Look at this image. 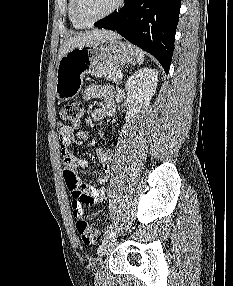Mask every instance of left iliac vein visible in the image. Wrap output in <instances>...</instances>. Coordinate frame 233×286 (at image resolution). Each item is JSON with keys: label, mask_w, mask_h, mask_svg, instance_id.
Here are the masks:
<instances>
[{"label": "left iliac vein", "mask_w": 233, "mask_h": 286, "mask_svg": "<svg viewBox=\"0 0 233 286\" xmlns=\"http://www.w3.org/2000/svg\"><path fill=\"white\" fill-rule=\"evenodd\" d=\"M116 236H117V230H112L109 234H107L104 237L98 249V255L100 256V258L108 252V250L110 249V247L113 245L114 241L116 240Z\"/></svg>", "instance_id": "left-iliac-vein-1"}]
</instances>
